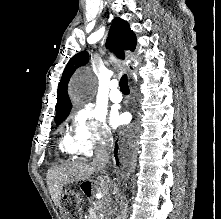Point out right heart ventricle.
<instances>
[{"label":"right heart ventricle","instance_id":"1","mask_svg":"<svg viewBox=\"0 0 221 219\" xmlns=\"http://www.w3.org/2000/svg\"><path fill=\"white\" fill-rule=\"evenodd\" d=\"M59 147L64 154L76 155L79 154L76 145L74 143L73 137L69 134L64 135L61 140Z\"/></svg>","mask_w":221,"mask_h":219}]
</instances>
